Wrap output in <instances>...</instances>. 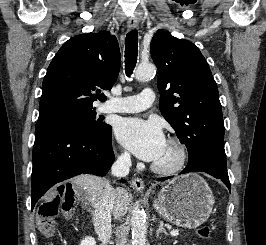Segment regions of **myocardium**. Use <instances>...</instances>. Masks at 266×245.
<instances>
[{
  "label": "myocardium",
  "mask_w": 266,
  "mask_h": 245,
  "mask_svg": "<svg viewBox=\"0 0 266 245\" xmlns=\"http://www.w3.org/2000/svg\"><path fill=\"white\" fill-rule=\"evenodd\" d=\"M167 142L174 144L178 148L179 157L177 163L170 168H163L153 163L151 164V170L159 175L172 176L183 170L188 159V151L186 145L178 138L171 137L167 139Z\"/></svg>",
  "instance_id": "myocardium-1"
}]
</instances>
